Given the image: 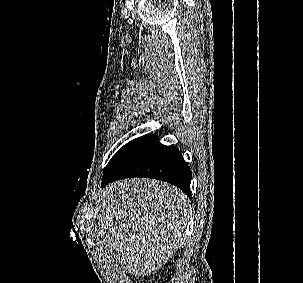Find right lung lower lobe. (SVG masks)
Masks as SVG:
<instances>
[{
	"mask_svg": "<svg viewBox=\"0 0 303 283\" xmlns=\"http://www.w3.org/2000/svg\"><path fill=\"white\" fill-rule=\"evenodd\" d=\"M132 177L166 181L190 195V167L177 148L161 144L159 138L153 134L138 138L117 164L103 175L102 186Z\"/></svg>",
	"mask_w": 303,
	"mask_h": 283,
	"instance_id": "1",
	"label": "right lung lower lobe"
}]
</instances>
